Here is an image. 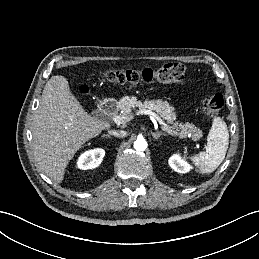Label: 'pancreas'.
<instances>
[{"label": "pancreas", "instance_id": "pancreas-1", "mask_svg": "<svg viewBox=\"0 0 259 259\" xmlns=\"http://www.w3.org/2000/svg\"><path fill=\"white\" fill-rule=\"evenodd\" d=\"M118 107L124 112L123 115L128 117L131 116V111L136 108L156 112L162 119L166 120L168 123L174 124L175 128L169 126L166 131L169 134L178 135L180 138H186L190 135V137L196 141L203 136L202 131L192 123L187 122L179 125L174 123L176 114L174 108L170 106L167 101H162L161 99H146L142 102L138 100L136 96H125L119 100Z\"/></svg>", "mask_w": 259, "mask_h": 259}]
</instances>
